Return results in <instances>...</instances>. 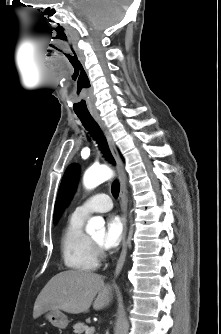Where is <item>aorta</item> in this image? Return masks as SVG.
Segmentation results:
<instances>
[{"instance_id":"obj_1","label":"aorta","mask_w":221,"mask_h":334,"mask_svg":"<svg viewBox=\"0 0 221 334\" xmlns=\"http://www.w3.org/2000/svg\"><path fill=\"white\" fill-rule=\"evenodd\" d=\"M113 176V171L107 166L90 167L83 177V185L86 189H94ZM105 221L102 217H92L86 226V231L93 234L96 231L104 233Z\"/></svg>"}]
</instances>
